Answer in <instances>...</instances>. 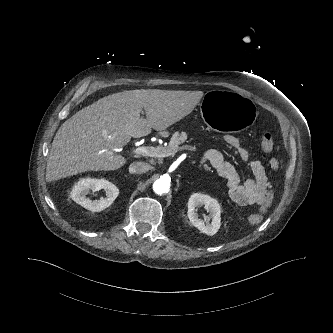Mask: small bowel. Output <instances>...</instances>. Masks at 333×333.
<instances>
[{
    "mask_svg": "<svg viewBox=\"0 0 333 333\" xmlns=\"http://www.w3.org/2000/svg\"><path fill=\"white\" fill-rule=\"evenodd\" d=\"M224 142L235 150L239 158L247 163L252 177L243 181L235 166L224 159L218 150L208 151L202 159L203 165H211L215 171L226 181L232 199L240 205H262L268 194L269 177L261 162L252 157L242 141L230 134L223 136ZM273 172L279 169L275 158L270 160Z\"/></svg>",
    "mask_w": 333,
    "mask_h": 333,
    "instance_id": "1",
    "label": "small bowel"
}]
</instances>
